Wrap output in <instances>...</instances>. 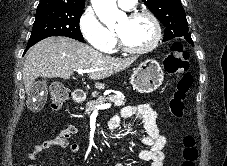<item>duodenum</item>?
Listing matches in <instances>:
<instances>
[{
    "label": "duodenum",
    "mask_w": 227,
    "mask_h": 166,
    "mask_svg": "<svg viewBox=\"0 0 227 166\" xmlns=\"http://www.w3.org/2000/svg\"><path fill=\"white\" fill-rule=\"evenodd\" d=\"M73 99L76 103H81L84 101L85 97H84V94L82 93V91L75 90L73 92Z\"/></svg>",
    "instance_id": "410a0bca"
}]
</instances>
